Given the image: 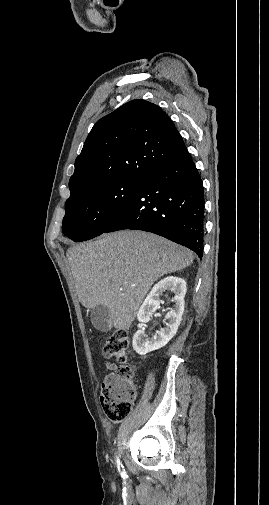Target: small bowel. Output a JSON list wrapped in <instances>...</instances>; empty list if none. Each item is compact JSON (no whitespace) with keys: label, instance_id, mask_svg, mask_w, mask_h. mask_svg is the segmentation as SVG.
I'll return each mask as SVG.
<instances>
[{"label":"small bowel","instance_id":"1","mask_svg":"<svg viewBox=\"0 0 269 505\" xmlns=\"http://www.w3.org/2000/svg\"><path fill=\"white\" fill-rule=\"evenodd\" d=\"M107 367L110 369V370H113L115 368V365L112 364V363H108L107 364Z\"/></svg>","mask_w":269,"mask_h":505}]
</instances>
